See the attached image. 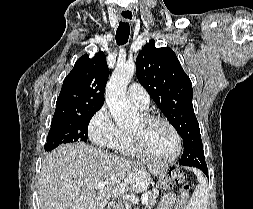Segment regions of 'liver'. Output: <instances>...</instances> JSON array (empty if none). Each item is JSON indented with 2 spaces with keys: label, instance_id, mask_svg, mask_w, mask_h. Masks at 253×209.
<instances>
[{
  "label": "liver",
  "instance_id": "6515ba94",
  "mask_svg": "<svg viewBox=\"0 0 253 209\" xmlns=\"http://www.w3.org/2000/svg\"><path fill=\"white\" fill-rule=\"evenodd\" d=\"M165 168L121 158L85 143L64 144L42 161L40 209H105L112 196L145 189ZM98 182H106L96 189ZM118 189V194L113 190Z\"/></svg>",
  "mask_w": 253,
  "mask_h": 209
}]
</instances>
